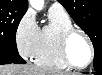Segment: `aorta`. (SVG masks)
I'll list each match as a JSON object with an SVG mask.
<instances>
[{
    "instance_id": "1",
    "label": "aorta",
    "mask_w": 102,
    "mask_h": 75,
    "mask_svg": "<svg viewBox=\"0 0 102 75\" xmlns=\"http://www.w3.org/2000/svg\"><path fill=\"white\" fill-rule=\"evenodd\" d=\"M30 5L36 10H41L44 6V0H30Z\"/></svg>"
}]
</instances>
